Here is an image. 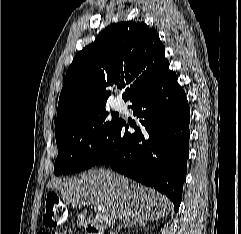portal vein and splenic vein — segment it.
I'll return each instance as SVG.
<instances>
[{"mask_svg":"<svg viewBox=\"0 0 241 234\" xmlns=\"http://www.w3.org/2000/svg\"><path fill=\"white\" fill-rule=\"evenodd\" d=\"M95 209L98 210L99 207L95 206ZM95 219H96V221H98V222H102V221H103V217H102L101 214L98 213V212L96 213Z\"/></svg>","mask_w":241,"mask_h":234,"instance_id":"obj_1","label":"portal vein and splenic vein"}]
</instances>
